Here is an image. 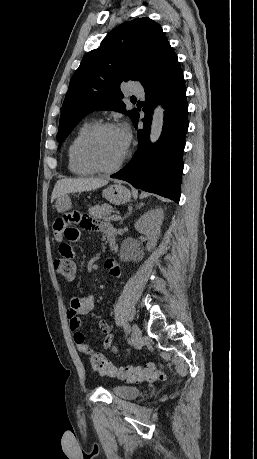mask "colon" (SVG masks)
<instances>
[{
	"mask_svg": "<svg viewBox=\"0 0 257 459\" xmlns=\"http://www.w3.org/2000/svg\"><path fill=\"white\" fill-rule=\"evenodd\" d=\"M54 267L59 276L70 281L76 278L77 268L75 261H65L64 258H58L54 262ZM90 362L92 367L100 374L127 381L153 382L162 379L164 376L162 364L148 363L143 367H116L104 354L97 351L90 352Z\"/></svg>",
	"mask_w": 257,
	"mask_h": 459,
	"instance_id": "5ec220e1",
	"label": "colon"
}]
</instances>
